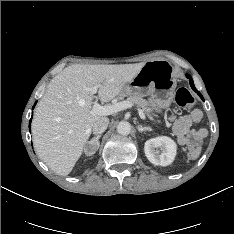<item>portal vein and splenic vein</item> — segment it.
I'll return each mask as SVG.
<instances>
[{
	"instance_id": "portal-vein-and-splenic-vein-1",
	"label": "portal vein and splenic vein",
	"mask_w": 234,
	"mask_h": 234,
	"mask_svg": "<svg viewBox=\"0 0 234 234\" xmlns=\"http://www.w3.org/2000/svg\"><path fill=\"white\" fill-rule=\"evenodd\" d=\"M99 86L100 85L93 86L90 89V91L93 92L94 94L97 93ZM131 107H132V104L128 101H122V102L105 105V106H101L97 101H95L91 112L92 114H96V115H111V114L117 113L119 111L131 108ZM138 113H139L140 118L145 120L146 116L141 109H138Z\"/></svg>"
}]
</instances>
